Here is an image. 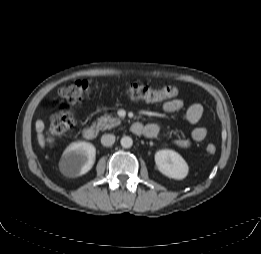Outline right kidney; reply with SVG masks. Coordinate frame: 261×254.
Here are the masks:
<instances>
[{
	"label": "right kidney",
	"instance_id": "obj_1",
	"mask_svg": "<svg viewBox=\"0 0 261 254\" xmlns=\"http://www.w3.org/2000/svg\"><path fill=\"white\" fill-rule=\"evenodd\" d=\"M96 149L88 142H76L64 151L60 167L64 175L78 177L87 173L95 161Z\"/></svg>",
	"mask_w": 261,
	"mask_h": 254
}]
</instances>
